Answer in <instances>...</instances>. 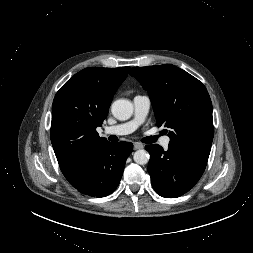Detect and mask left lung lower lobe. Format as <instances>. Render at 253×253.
Returning a JSON list of instances; mask_svg holds the SVG:
<instances>
[{"label":"left lung lower lobe","instance_id":"left-lung-lower-lobe-1","mask_svg":"<svg viewBox=\"0 0 253 253\" xmlns=\"http://www.w3.org/2000/svg\"><path fill=\"white\" fill-rule=\"evenodd\" d=\"M150 153L147 167L151 184L162 197L176 198L192 189L201 178L207 161L189 153L157 144L146 145Z\"/></svg>","mask_w":253,"mask_h":253}]
</instances>
